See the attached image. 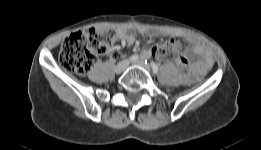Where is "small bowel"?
Returning a JSON list of instances; mask_svg holds the SVG:
<instances>
[{"label": "small bowel", "mask_w": 261, "mask_h": 150, "mask_svg": "<svg viewBox=\"0 0 261 150\" xmlns=\"http://www.w3.org/2000/svg\"><path fill=\"white\" fill-rule=\"evenodd\" d=\"M141 33L149 37L154 35V32L149 29H142ZM119 38L121 40V46L131 45L136 40L132 29L129 27H124L119 30ZM187 40L192 45V52L200 58L194 63L193 67L192 78H196L212 65V56L208 49L197 39L193 37H187ZM141 56L144 59H148L151 56V51L144 50ZM115 57L116 53H113L112 58Z\"/></svg>", "instance_id": "obj_1"}]
</instances>
